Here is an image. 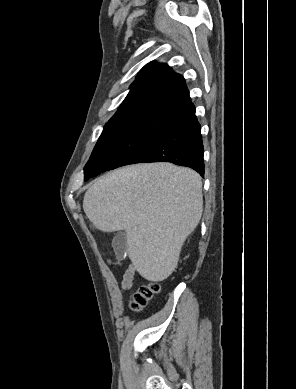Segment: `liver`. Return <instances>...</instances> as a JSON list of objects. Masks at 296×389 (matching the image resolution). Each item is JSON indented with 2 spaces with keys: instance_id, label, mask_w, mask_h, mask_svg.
Instances as JSON below:
<instances>
[{
  "instance_id": "liver-1",
  "label": "liver",
  "mask_w": 296,
  "mask_h": 389,
  "mask_svg": "<svg viewBox=\"0 0 296 389\" xmlns=\"http://www.w3.org/2000/svg\"><path fill=\"white\" fill-rule=\"evenodd\" d=\"M83 209L98 230H125L135 269L160 282L175 270L201 219V177L171 163L127 166L97 179L85 193Z\"/></svg>"
}]
</instances>
